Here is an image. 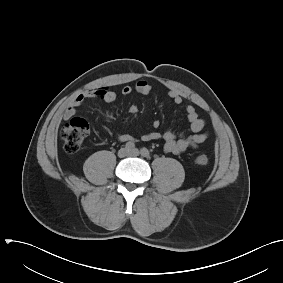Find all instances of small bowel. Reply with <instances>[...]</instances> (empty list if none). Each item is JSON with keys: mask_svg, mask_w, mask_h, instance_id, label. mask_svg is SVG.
Wrapping results in <instances>:
<instances>
[{"mask_svg": "<svg viewBox=\"0 0 283 283\" xmlns=\"http://www.w3.org/2000/svg\"><path fill=\"white\" fill-rule=\"evenodd\" d=\"M133 91L147 95L152 91V85L146 80H139L136 82L135 86L126 85L122 88L121 93L123 95H129ZM169 98L175 104H181L183 102L182 96L174 91L170 90L168 92ZM86 99H100L104 102L111 103L116 99V93L108 88H97L85 93L78 95L73 99L70 104L66 107L63 118L69 120L76 113V109L86 100ZM129 113L135 114L138 112V107L136 105H131L128 108ZM186 117L190 123V132L188 136H183L176 134L173 130L167 129L164 132L158 131L160 127L159 121L153 122V129L144 133L139 140L142 141H152V140H163L164 141V151L166 153L181 154L190 148H197L208 138V132L204 131L205 120L201 118L193 105L185 106ZM116 138L120 142H134L138 139L129 134H117Z\"/></svg>", "mask_w": 283, "mask_h": 283, "instance_id": "c3829d8e", "label": "small bowel"}]
</instances>
